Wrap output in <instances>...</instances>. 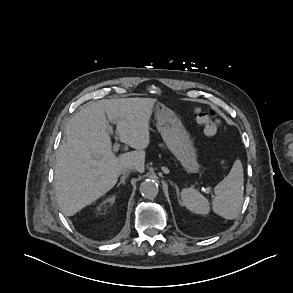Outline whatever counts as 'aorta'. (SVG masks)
Masks as SVG:
<instances>
[{
  "label": "aorta",
  "instance_id": "1",
  "mask_svg": "<svg viewBox=\"0 0 293 293\" xmlns=\"http://www.w3.org/2000/svg\"><path fill=\"white\" fill-rule=\"evenodd\" d=\"M159 188L156 181L146 179L140 184V193L145 198H154L158 194Z\"/></svg>",
  "mask_w": 293,
  "mask_h": 293
}]
</instances>
